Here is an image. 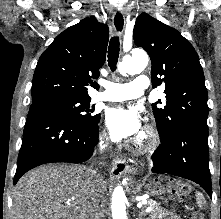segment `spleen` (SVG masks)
<instances>
[{"mask_svg": "<svg viewBox=\"0 0 221 219\" xmlns=\"http://www.w3.org/2000/svg\"><path fill=\"white\" fill-rule=\"evenodd\" d=\"M196 201L199 206H202L203 204H205V200H204L202 194L199 192L196 193Z\"/></svg>", "mask_w": 221, "mask_h": 219, "instance_id": "spleen-1", "label": "spleen"}]
</instances>
